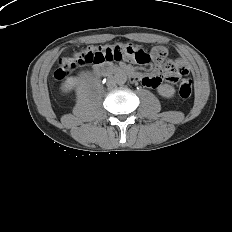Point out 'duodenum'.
<instances>
[{
  "instance_id": "duodenum-1",
  "label": "duodenum",
  "mask_w": 232,
  "mask_h": 232,
  "mask_svg": "<svg viewBox=\"0 0 232 232\" xmlns=\"http://www.w3.org/2000/svg\"><path fill=\"white\" fill-rule=\"evenodd\" d=\"M112 71L117 74L127 75L132 81H137L139 79L137 73L125 67H118L115 69H112L109 65H97L93 67V73L99 78Z\"/></svg>"
}]
</instances>
